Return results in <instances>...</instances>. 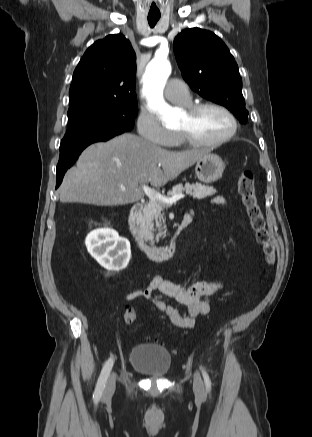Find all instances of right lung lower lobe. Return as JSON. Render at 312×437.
Returning <instances> with one entry per match:
<instances>
[{"label":"right lung lower lobe","instance_id":"98d812e1","mask_svg":"<svg viewBox=\"0 0 312 437\" xmlns=\"http://www.w3.org/2000/svg\"><path fill=\"white\" fill-rule=\"evenodd\" d=\"M110 138L112 137L105 138L103 140H98V141H107ZM98 141H90L88 143L78 145L68 151L60 152L59 162L57 165L56 188L61 184L65 172L67 171L68 168H70L74 164V162L77 160L83 149H85L88 145Z\"/></svg>","mask_w":312,"mask_h":437}]
</instances>
